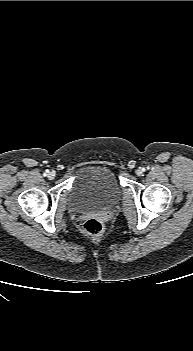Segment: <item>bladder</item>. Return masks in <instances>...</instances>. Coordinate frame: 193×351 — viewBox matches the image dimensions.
<instances>
[{"mask_svg":"<svg viewBox=\"0 0 193 351\" xmlns=\"http://www.w3.org/2000/svg\"><path fill=\"white\" fill-rule=\"evenodd\" d=\"M119 185L109 168L90 165L74 180L70 206L76 211L100 210L117 201Z\"/></svg>","mask_w":193,"mask_h":351,"instance_id":"obj_1","label":"bladder"}]
</instances>
